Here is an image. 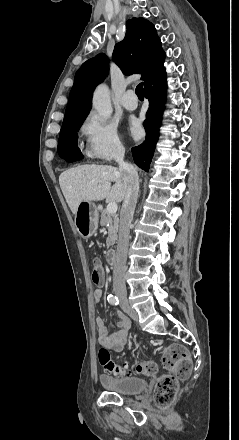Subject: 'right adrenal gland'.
Returning <instances> with one entry per match:
<instances>
[{
  "label": "right adrenal gland",
  "mask_w": 239,
  "mask_h": 440,
  "mask_svg": "<svg viewBox=\"0 0 239 440\" xmlns=\"http://www.w3.org/2000/svg\"><path fill=\"white\" fill-rule=\"evenodd\" d=\"M138 198H140V192H139V196H138Z\"/></svg>",
  "instance_id": "obj_1"
}]
</instances>
